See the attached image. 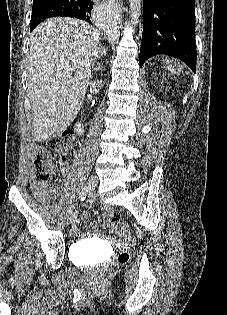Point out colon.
Instances as JSON below:
<instances>
[{
  "instance_id": "1",
  "label": "colon",
  "mask_w": 227,
  "mask_h": 315,
  "mask_svg": "<svg viewBox=\"0 0 227 315\" xmlns=\"http://www.w3.org/2000/svg\"><path fill=\"white\" fill-rule=\"evenodd\" d=\"M74 144V136L67 130H62L49 137L44 145L36 146L34 150L33 168L31 171V183L36 188H47L51 180L57 155L66 158ZM109 228L112 233L131 236L127 223L120 218L110 220ZM128 255L121 253L118 257L120 263L127 261ZM105 273H102L104 275Z\"/></svg>"
}]
</instances>
